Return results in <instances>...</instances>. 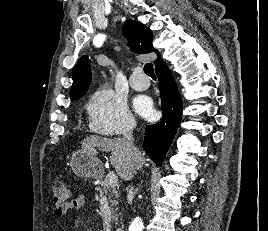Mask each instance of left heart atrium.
Wrapping results in <instances>:
<instances>
[{
	"mask_svg": "<svg viewBox=\"0 0 268 231\" xmlns=\"http://www.w3.org/2000/svg\"><path fill=\"white\" fill-rule=\"evenodd\" d=\"M135 110L145 118H152L154 115L153 104L148 97L139 96L134 100Z\"/></svg>",
	"mask_w": 268,
	"mask_h": 231,
	"instance_id": "1",
	"label": "left heart atrium"
}]
</instances>
